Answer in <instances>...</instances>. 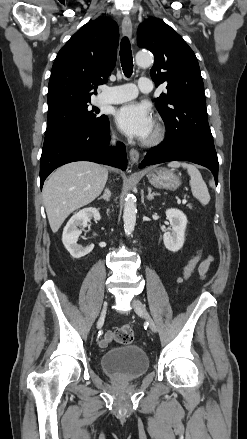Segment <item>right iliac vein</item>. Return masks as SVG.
I'll use <instances>...</instances> for the list:
<instances>
[{
    "label": "right iliac vein",
    "mask_w": 247,
    "mask_h": 439,
    "mask_svg": "<svg viewBox=\"0 0 247 439\" xmlns=\"http://www.w3.org/2000/svg\"><path fill=\"white\" fill-rule=\"evenodd\" d=\"M107 305H108L107 302H105V303H104V306H103V308H102V311H101L100 317H99L98 322H97L98 325L102 324L103 321H104V319H105L106 311H107Z\"/></svg>",
    "instance_id": "63e3f726"
}]
</instances>
